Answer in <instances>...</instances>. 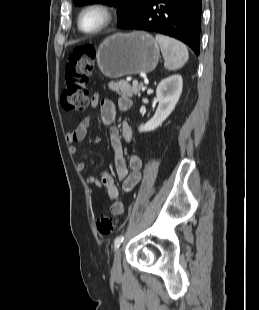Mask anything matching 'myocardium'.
<instances>
[{
    "label": "myocardium",
    "mask_w": 259,
    "mask_h": 310,
    "mask_svg": "<svg viewBox=\"0 0 259 310\" xmlns=\"http://www.w3.org/2000/svg\"><path fill=\"white\" fill-rule=\"evenodd\" d=\"M92 10H97V11L101 12L103 15V21L95 29L86 30L82 25V19H83V16L87 12L92 11ZM113 20H114V9L106 3L95 2V3H91V4L86 5L80 11L78 18H77V25H78L79 30L81 32H83L84 34L93 35V34L101 33L102 31L107 29L112 24Z\"/></svg>",
    "instance_id": "f54148a6"
}]
</instances>
